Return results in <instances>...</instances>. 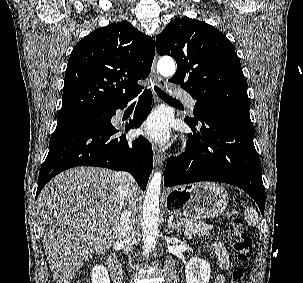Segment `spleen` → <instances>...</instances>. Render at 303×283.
I'll use <instances>...</instances> for the list:
<instances>
[{
	"label": "spleen",
	"mask_w": 303,
	"mask_h": 283,
	"mask_svg": "<svg viewBox=\"0 0 303 283\" xmlns=\"http://www.w3.org/2000/svg\"><path fill=\"white\" fill-rule=\"evenodd\" d=\"M245 220L251 226H256L258 224V214L252 207H247L244 212Z\"/></svg>",
	"instance_id": "3e777b00"
}]
</instances>
